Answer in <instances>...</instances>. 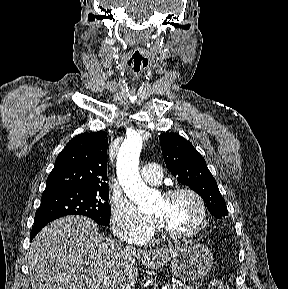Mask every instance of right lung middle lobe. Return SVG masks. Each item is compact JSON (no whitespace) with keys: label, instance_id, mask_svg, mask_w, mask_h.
Segmentation results:
<instances>
[{"label":"right lung middle lobe","instance_id":"dd1d6c3e","mask_svg":"<svg viewBox=\"0 0 288 289\" xmlns=\"http://www.w3.org/2000/svg\"><path fill=\"white\" fill-rule=\"evenodd\" d=\"M108 198V187L45 189L34 224L50 222L66 215H84L100 225H107L111 214Z\"/></svg>","mask_w":288,"mask_h":289}]
</instances>
